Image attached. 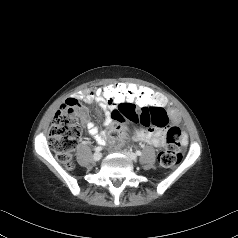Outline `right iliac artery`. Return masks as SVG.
<instances>
[{"instance_id": "82829eb1", "label": "right iliac artery", "mask_w": 238, "mask_h": 238, "mask_svg": "<svg viewBox=\"0 0 238 238\" xmlns=\"http://www.w3.org/2000/svg\"><path fill=\"white\" fill-rule=\"evenodd\" d=\"M94 150H95V152H99V151L102 150V147L98 146V147H96Z\"/></svg>"}]
</instances>
